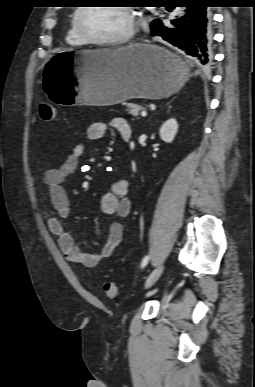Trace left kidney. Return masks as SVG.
Returning a JSON list of instances; mask_svg holds the SVG:
<instances>
[{
	"mask_svg": "<svg viewBox=\"0 0 255 387\" xmlns=\"http://www.w3.org/2000/svg\"><path fill=\"white\" fill-rule=\"evenodd\" d=\"M178 131V123L176 119L167 120L159 130L160 138L166 142L171 143Z\"/></svg>",
	"mask_w": 255,
	"mask_h": 387,
	"instance_id": "1",
	"label": "left kidney"
}]
</instances>
